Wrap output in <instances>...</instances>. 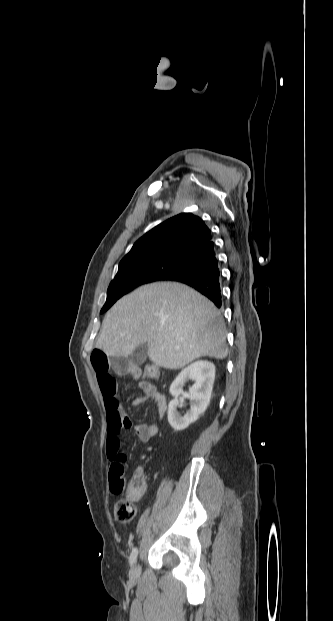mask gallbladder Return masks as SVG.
Listing matches in <instances>:
<instances>
[{"label":"gallbladder","mask_w":333,"mask_h":621,"mask_svg":"<svg viewBox=\"0 0 333 621\" xmlns=\"http://www.w3.org/2000/svg\"><path fill=\"white\" fill-rule=\"evenodd\" d=\"M148 355V345L147 343H142L133 351L130 356V360L135 365H141L145 362Z\"/></svg>","instance_id":"1"}]
</instances>
